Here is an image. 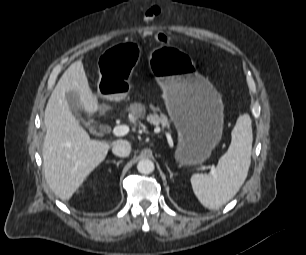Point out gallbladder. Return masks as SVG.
<instances>
[{
    "label": "gallbladder",
    "mask_w": 306,
    "mask_h": 255,
    "mask_svg": "<svg viewBox=\"0 0 306 255\" xmlns=\"http://www.w3.org/2000/svg\"><path fill=\"white\" fill-rule=\"evenodd\" d=\"M67 102L74 117L79 120L81 118L79 111L82 109L80 101L73 94H66Z\"/></svg>",
    "instance_id": "bac80fb5"
}]
</instances>
